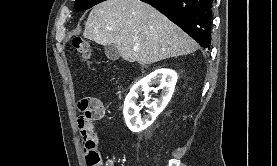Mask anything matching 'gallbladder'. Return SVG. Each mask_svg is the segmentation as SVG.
I'll return each instance as SVG.
<instances>
[{
	"instance_id": "bac80fb5",
	"label": "gallbladder",
	"mask_w": 277,
	"mask_h": 166,
	"mask_svg": "<svg viewBox=\"0 0 277 166\" xmlns=\"http://www.w3.org/2000/svg\"><path fill=\"white\" fill-rule=\"evenodd\" d=\"M105 55L109 60L115 61L119 59L120 52L114 44H109L105 46Z\"/></svg>"
}]
</instances>
